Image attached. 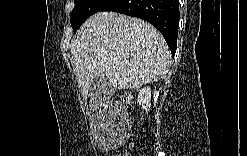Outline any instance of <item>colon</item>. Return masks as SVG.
I'll return each mask as SVG.
<instances>
[{
    "mask_svg": "<svg viewBox=\"0 0 247 156\" xmlns=\"http://www.w3.org/2000/svg\"><path fill=\"white\" fill-rule=\"evenodd\" d=\"M118 100L122 106H127L131 102V95L128 92L121 93L118 96ZM116 114H117V111L115 110L114 115H116ZM114 119L116 120V118H114ZM118 155H120V154H118Z\"/></svg>",
    "mask_w": 247,
    "mask_h": 156,
    "instance_id": "1",
    "label": "colon"
}]
</instances>
